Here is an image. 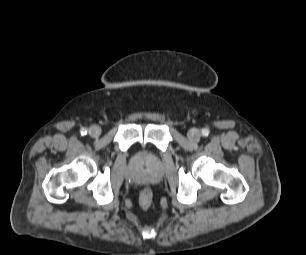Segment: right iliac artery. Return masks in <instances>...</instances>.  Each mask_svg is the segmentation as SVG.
Instances as JSON below:
<instances>
[{
  "label": "right iliac artery",
  "mask_w": 306,
  "mask_h": 255,
  "mask_svg": "<svg viewBox=\"0 0 306 255\" xmlns=\"http://www.w3.org/2000/svg\"><path fill=\"white\" fill-rule=\"evenodd\" d=\"M80 133H81L82 136L86 135L87 134V129L86 128H82L80 130Z\"/></svg>",
  "instance_id": "1"
}]
</instances>
